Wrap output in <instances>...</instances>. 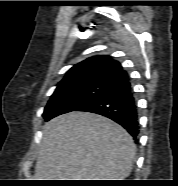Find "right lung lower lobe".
Instances as JSON below:
<instances>
[{
    "label": "right lung lower lobe",
    "mask_w": 178,
    "mask_h": 186,
    "mask_svg": "<svg viewBox=\"0 0 178 186\" xmlns=\"http://www.w3.org/2000/svg\"><path fill=\"white\" fill-rule=\"evenodd\" d=\"M76 111L108 117L124 127L134 139L139 134L137 105L128 77L112 84Z\"/></svg>",
    "instance_id": "obj_1"
}]
</instances>
